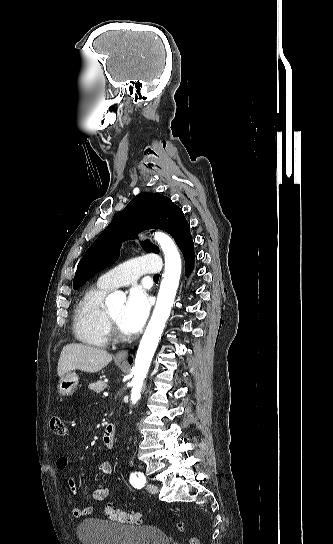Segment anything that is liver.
Here are the masks:
<instances>
[{
  "label": "liver",
  "mask_w": 333,
  "mask_h": 544,
  "mask_svg": "<svg viewBox=\"0 0 333 544\" xmlns=\"http://www.w3.org/2000/svg\"><path fill=\"white\" fill-rule=\"evenodd\" d=\"M112 361V355L103 349L71 343L63 347L57 367L61 378L72 370H81L87 373L99 372Z\"/></svg>",
  "instance_id": "obj_1"
}]
</instances>
